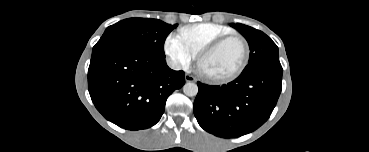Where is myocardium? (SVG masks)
I'll return each instance as SVG.
<instances>
[{
  "instance_id": "f54148a6",
  "label": "myocardium",
  "mask_w": 369,
  "mask_h": 152,
  "mask_svg": "<svg viewBox=\"0 0 369 152\" xmlns=\"http://www.w3.org/2000/svg\"><path fill=\"white\" fill-rule=\"evenodd\" d=\"M230 40H239L244 47V57H243V60L240 66L231 74L226 75V76H221V77H215V76H211V75L204 73L201 70V63L203 62V60ZM249 59H250V47H249L247 40L241 35L229 34V35L222 36L216 39L215 41L211 42L199 53L198 66H199L201 74L209 82L214 83V84H224V83L231 82L235 80L236 78H238L243 73L245 68L247 67Z\"/></svg>"
}]
</instances>
